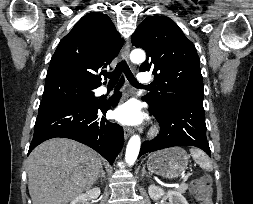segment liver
I'll return each instance as SVG.
<instances>
[{"label":"liver","instance_id":"obj_1","mask_svg":"<svg viewBox=\"0 0 253 204\" xmlns=\"http://www.w3.org/2000/svg\"><path fill=\"white\" fill-rule=\"evenodd\" d=\"M102 169V159L89 147L53 138L28 157V189L33 204H67L90 189Z\"/></svg>","mask_w":253,"mask_h":204}]
</instances>
